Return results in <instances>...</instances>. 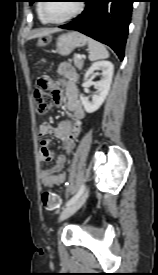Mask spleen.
<instances>
[{
  "mask_svg": "<svg viewBox=\"0 0 158 275\" xmlns=\"http://www.w3.org/2000/svg\"><path fill=\"white\" fill-rule=\"evenodd\" d=\"M87 42H88L90 61H96L99 59H104L109 57V52L107 51L106 47L103 44L89 37L87 38Z\"/></svg>",
  "mask_w": 158,
  "mask_h": 275,
  "instance_id": "obj_1",
  "label": "spleen"
}]
</instances>
